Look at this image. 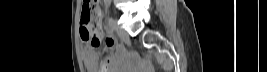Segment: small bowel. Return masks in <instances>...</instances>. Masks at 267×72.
<instances>
[{
    "mask_svg": "<svg viewBox=\"0 0 267 72\" xmlns=\"http://www.w3.org/2000/svg\"><path fill=\"white\" fill-rule=\"evenodd\" d=\"M114 43L115 38L113 36L106 38V48L112 47ZM82 54L88 72H115L113 66L115 63L114 58L108 57L99 64L95 51L89 45L84 47Z\"/></svg>",
    "mask_w": 267,
    "mask_h": 72,
    "instance_id": "small-bowel-1",
    "label": "small bowel"
}]
</instances>
